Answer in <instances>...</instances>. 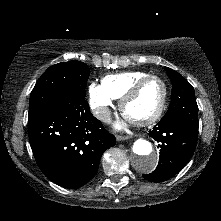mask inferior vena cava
Wrapping results in <instances>:
<instances>
[{"instance_id": "602c4592", "label": "inferior vena cava", "mask_w": 221, "mask_h": 221, "mask_svg": "<svg viewBox=\"0 0 221 221\" xmlns=\"http://www.w3.org/2000/svg\"><path fill=\"white\" fill-rule=\"evenodd\" d=\"M96 117L104 122H110L111 120V111L108 108H101L96 111Z\"/></svg>"}]
</instances>
